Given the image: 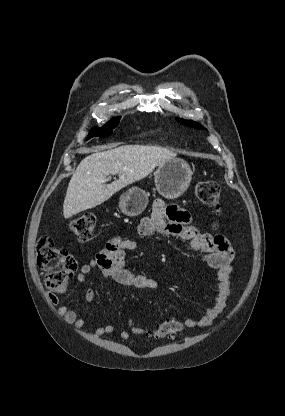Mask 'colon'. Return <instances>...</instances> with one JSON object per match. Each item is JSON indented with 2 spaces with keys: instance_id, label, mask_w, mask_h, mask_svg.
<instances>
[{
  "instance_id": "colon-1",
  "label": "colon",
  "mask_w": 285,
  "mask_h": 416,
  "mask_svg": "<svg viewBox=\"0 0 285 416\" xmlns=\"http://www.w3.org/2000/svg\"><path fill=\"white\" fill-rule=\"evenodd\" d=\"M194 193L200 202L218 210L221 194L216 182L199 181L195 185ZM95 222L94 215L84 214L71 220L68 229L79 241L87 242L92 236ZM36 251L37 264L45 273L47 288L58 294L65 292L77 270L75 258L65 248L47 237L38 239ZM183 330L184 326L180 322L168 319L158 329L147 333L146 336L155 339H171L181 334Z\"/></svg>"
}]
</instances>
